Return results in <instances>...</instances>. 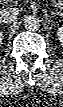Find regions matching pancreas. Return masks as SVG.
<instances>
[{
	"instance_id": "1",
	"label": "pancreas",
	"mask_w": 63,
	"mask_h": 107,
	"mask_svg": "<svg viewBox=\"0 0 63 107\" xmlns=\"http://www.w3.org/2000/svg\"><path fill=\"white\" fill-rule=\"evenodd\" d=\"M53 2V4H55L56 6H58V7H61V4H62V1H52Z\"/></svg>"
}]
</instances>
